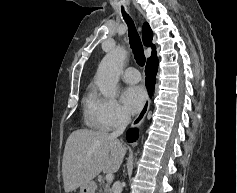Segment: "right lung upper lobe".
<instances>
[{
	"label": "right lung upper lobe",
	"instance_id": "right-lung-upper-lobe-1",
	"mask_svg": "<svg viewBox=\"0 0 237 193\" xmlns=\"http://www.w3.org/2000/svg\"><path fill=\"white\" fill-rule=\"evenodd\" d=\"M152 38H153L152 30H151L150 26L148 25V23H145L143 25V42L146 46L152 47V56L148 60L157 57L155 46L152 44Z\"/></svg>",
	"mask_w": 237,
	"mask_h": 193
}]
</instances>
